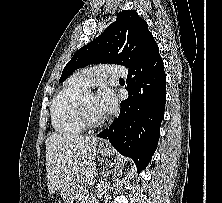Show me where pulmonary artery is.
<instances>
[{"instance_id":"1","label":"pulmonary artery","mask_w":222,"mask_h":203,"mask_svg":"<svg viewBox=\"0 0 222 203\" xmlns=\"http://www.w3.org/2000/svg\"><path fill=\"white\" fill-rule=\"evenodd\" d=\"M126 75L127 70L125 67L106 64L83 69L74 74L72 78L84 88H89L102 82L108 76L124 77Z\"/></svg>"}]
</instances>
